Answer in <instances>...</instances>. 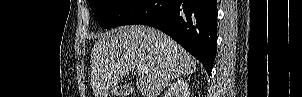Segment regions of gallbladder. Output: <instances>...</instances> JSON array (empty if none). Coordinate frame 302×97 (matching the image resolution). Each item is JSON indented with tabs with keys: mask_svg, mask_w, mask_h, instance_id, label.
I'll return each instance as SVG.
<instances>
[{
	"mask_svg": "<svg viewBox=\"0 0 302 97\" xmlns=\"http://www.w3.org/2000/svg\"><path fill=\"white\" fill-rule=\"evenodd\" d=\"M113 95L125 97L133 92V88L128 85H118L111 91Z\"/></svg>",
	"mask_w": 302,
	"mask_h": 97,
	"instance_id": "1",
	"label": "gallbladder"
}]
</instances>
